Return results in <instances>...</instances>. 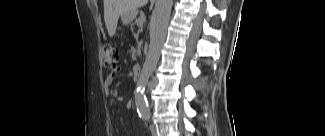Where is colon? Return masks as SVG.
I'll use <instances>...</instances> for the list:
<instances>
[{"label":"colon","instance_id":"5ec220e1","mask_svg":"<svg viewBox=\"0 0 325 136\" xmlns=\"http://www.w3.org/2000/svg\"><path fill=\"white\" fill-rule=\"evenodd\" d=\"M104 64L109 69H115L118 61V52L112 45L103 46Z\"/></svg>","mask_w":325,"mask_h":136}]
</instances>
